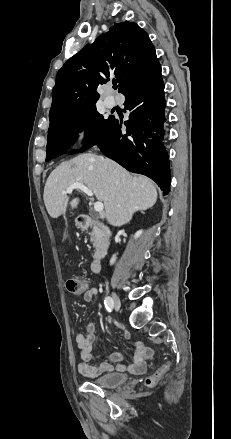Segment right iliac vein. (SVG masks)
<instances>
[{
	"label": "right iliac vein",
	"mask_w": 231,
	"mask_h": 439,
	"mask_svg": "<svg viewBox=\"0 0 231 439\" xmlns=\"http://www.w3.org/2000/svg\"><path fill=\"white\" fill-rule=\"evenodd\" d=\"M111 297H112V300H113V303H114L115 310L119 311L120 307H121V302H120V299H119L118 295L116 293H112Z\"/></svg>",
	"instance_id": "obj_1"
}]
</instances>
